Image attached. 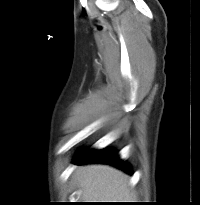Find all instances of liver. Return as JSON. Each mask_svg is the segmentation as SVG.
Listing matches in <instances>:
<instances>
[{"label":"liver","instance_id":"obj_1","mask_svg":"<svg viewBox=\"0 0 200 205\" xmlns=\"http://www.w3.org/2000/svg\"><path fill=\"white\" fill-rule=\"evenodd\" d=\"M74 177L78 188L82 190L83 200L124 202L117 200L134 198V194L130 191L128 176L112 166L101 164L80 166L76 168Z\"/></svg>","mask_w":200,"mask_h":205}]
</instances>
